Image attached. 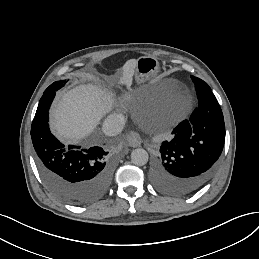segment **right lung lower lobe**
Segmentation results:
<instances>
[{"label":"right lung lower lobe","instance_id":"right-lung-lower-lobe-1","mask_svg":"<svg viewBox=\"0 0 259 259\" xmlns=\"http://www.w3.org/2000/svg\"><path fill=\"white\" fill-rule=\"evenodd\" d=\"M56 92L43 94L31 125V138L40 174L50 190L62 200L86 205L108 190L113 167L104 147H65L49 130L48 111Z\"/></svg>","mask_w":259,"mask_h":259}]
</instances>
